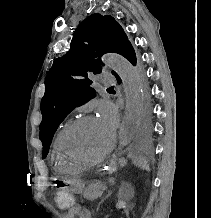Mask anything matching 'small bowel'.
I'll return each instance as SVG.
<instances>
[{
	"mask_svg": "<svg viewBox=\"0 0 211 218\" xmlns=\"http://www.w3.org/2000/svg\"><path fill=\"white\" fill-rule=\"evenodd\" d=\"M70 213L76 214L78 218H91L90 212L80 206L72 208Z\"/></svg>",
	"mask_w": 211,
	"mask_h": 218,
	"instance_id": "c3829d8e",
	"label": "small bowel"
}]
</instances>
